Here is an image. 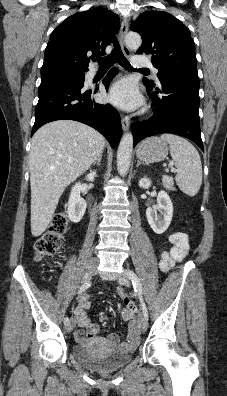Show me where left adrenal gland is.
I'll list each match as a JSON object with an SVG mask.
<instances>
[{"label":"left adrenal gland","mask_w":227,"mask_h":396,"mask_svg":"<svg viewBox=\"0 0 227 396\" xmlns=\"http://www.w3.org/2000/svg\"><path fill=\"white\" fill-rule=\"evenodd\" d=\"M141 164H143L142 162H140V161H137V165H136V167H138L139 165H141Z\"/></svg>","instance_id":"obj_1"}]
</instances>
